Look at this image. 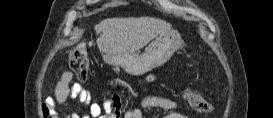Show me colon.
Wrapping results in <instances>:
<instances>
[{"label": "colon", "instance_id": "obj_1", "mask_svg": "<svg viewBox=\"0 0 273 118\" xmlns=\"http://www.w3.org/2000/svg\"><path fill=\"white\" fill-rule=\"evenodd\" d=\"M86 47V42H81L73 47L70 54V67L80 80H86L89 75ZM190 99L194 109L199 112H210L213 109V106L208 101L202 99L194 92L190 94ZM42 109L44 118L55 117L47 104H44Z\"/></svg>", "mask_w": 273, "mask_h": 118}]
</instances>
